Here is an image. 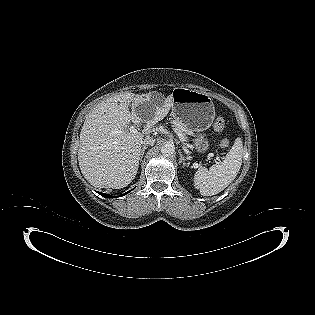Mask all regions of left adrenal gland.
<instances>
[{"label":"left adrenal gland","instance_id":"obj_1","mask_svg":"<svg viewBox=\"0 0 315 315\" xmlns=\"http://www.w3.org/2000/svg\"><path fill=\"white\" fill-rule=\"evenodd\" d=\"M179 155H180V158H179V164L183 163V165H188L185 161V157L183 156L182 152L179 150Z\"/></svg>","mask_w":315,"mask_h":315}]
</instances>
